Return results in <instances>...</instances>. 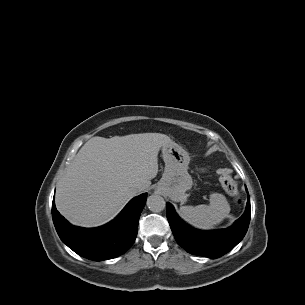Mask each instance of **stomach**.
I'll list each match as a JSON object with an SVG mask.
<instances>
[{"label":"stomach","instance_id":"1","mask_svg":"<svg viewBox=\"0 0 305 305\" xmlns=\"http://www.w3.org/2000/svg\"><path fill=\"white\" fill-rule=\"evenodd\" d=\"M165 170L156 190L171 200L185 202L186 191L192 187V178L187 169L190 157L181 146L172 142L162 146Z\"/></svg>","mask_w":305,"mask_h":305}]
</instances>
